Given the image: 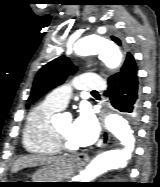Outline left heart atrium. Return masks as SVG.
I'll list each match as a JSON object with an SVG mask.
<instances>
[{"mask_svg":"<svg viewBox=\"0 0 160 187\" xmlns=\"http://www.w3.org/2000/svg\"><path fill=\"white\" fill-rule=\"evenodd\" d=\"M72 136L79 146H87L96 141L98 126L94 116L89 111H81L72 123Z\"/></svg>","mask_w":160,"mask_h":187,"instance_id":"39dd6f15","label":"left heart atrium"}]
</instances>
